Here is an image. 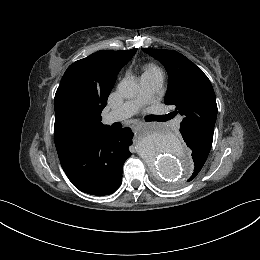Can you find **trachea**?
Instances as JSON below:
<instances>
[{"mask_svg": "<svg viewBox=\"0 0 260 260\" xmlns=\"http://www.w3.org/2000/svg\"><path fill=\"white\" fill-rule=\"evenodd\" d=\"M165 119H167V118H165V117H163V116H159L157 120H158V121H164Z\"/></svg>", "mask_w": 260, "mask_h": 260, "instance_id": "1", "label": "trachea"}]
</instances>
